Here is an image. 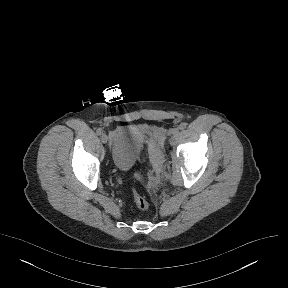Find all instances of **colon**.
Returning <instances> with one entry per match:
<instances>
[{
    "label": "colon",
    "mask_w": 288,
    "mask_h": 288,
    "mask_svg": "<svg viewBox=\"0 0 288 288\" xmlns=\"http://www.w3.org/2000/svg\"><path fill=\"white\" fill-rule=\"evenodd\" d=\"M133 200H134L136 207L139 210L145 211L148 209L149 207L148 201L136 191L133 192Z\"/></svg>",
    "instance_id": "colon-1"
}]
</instances>
